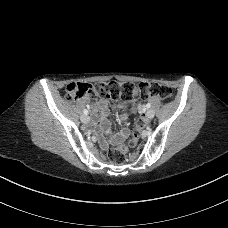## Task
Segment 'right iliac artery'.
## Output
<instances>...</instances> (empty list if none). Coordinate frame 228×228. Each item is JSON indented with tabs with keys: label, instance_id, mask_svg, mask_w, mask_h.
Returning a JSON list of instances; mask_svg holds the SVG:
<instances>
[{
	"label": "right iliac artery",
	"instance_id": "obj_1",
	"mask_svg": "<svg viewBox=\"0 0 228 228\" xmlns=\"http://www.w3.org/2000/svg\"><path fill=\"white\" fill-rule=\"evenodd\" d=\"M84 114L87 115L88 114V110L84 109Z\"/></svg>",
	"mask_w": 228,
	"mask_h": 228
}]
</instances>
